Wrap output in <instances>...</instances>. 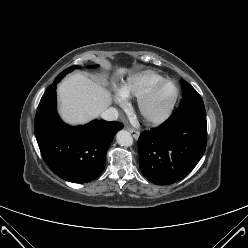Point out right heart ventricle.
I'll use <instances>...</instances> for the list:
<instances>
[{
    "label": "right heart ventricle",
    "instance_id": "e07e8e85",
    "mask_svg": "<svg viewBox=\"0 0 248 248\" xmlns=\"http://www.w3.org/2000/svg\"><path fill=\"white\" fill-rule=\"evenodd\" d=\"M165 77L154 71L130 76L120 89V93L127 98H139L152 86L164 80Z\"/></svg>",
    "mask_w": 248,
    "mask_h": 248
}]
</instances>
